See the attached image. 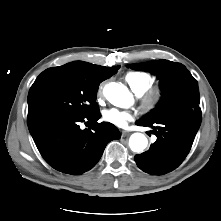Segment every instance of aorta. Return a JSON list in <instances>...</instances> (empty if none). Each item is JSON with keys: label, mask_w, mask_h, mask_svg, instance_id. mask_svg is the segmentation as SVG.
I'll list each match as a JSON object with an SVG mask.
<instances>
[{"label": "aorta", "mask_w": 221, "mask_h": 221, "mask_svg": "<svg viewBox=\"0 0 221 221\" xmlns=\"http://www.w3.org/2000/svg\"><path fill=\"white\" fill-rule=\"evenodd\" d=\"M104 96L114 106L125 108L130 105L132 95L123 84L110 82L103 89ZM148 145L146 136L142 133H134L130 136L129 146L133 152H142Z\"/></svg>", "instance_id": "762f6f07"}]
</instances>
